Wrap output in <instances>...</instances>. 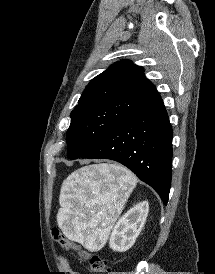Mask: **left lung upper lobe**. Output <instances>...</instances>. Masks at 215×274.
Listing matches in <instances>:
<instances>
[{
    "label": "left lung upper lobe",
    "instance_id": "5c2ea615",
    "mask_svg": "<svg viewBox=\"0 0 215 274\" xmlns=\"http://www.w3.org/2000/svg\"><path fill=\"white\" fill-rule=\"evenodd\" d=\"M160 97L143 68L120 61L96 76L71 112L67 158L91 151L118 124Z\"/></svg>",
    "mask_w": 215,
    "mask_h": 274
}]
</instances>
